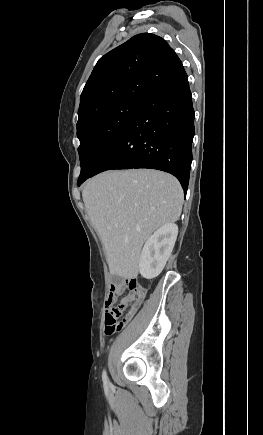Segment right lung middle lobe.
I'll list each match as a JSON object with an SVG mask.
<instances>
[{
  "label": "right lung middle lobe",
  "instance_id": "1",
  "mask_svg": "<svg viewBox=\"0 0 263 435\" xmlns=\"http://www.w3.org/2000/svg\"><path fill=\"white\" fill-rule=\"evenodd\" d=\"M143 101L123 99L91 111L77 126L81 173L78 183L99 167L142 106Z\"/></svg>",
  "mask_w": 263,
  "mask_h": 435
}]
</instances>
